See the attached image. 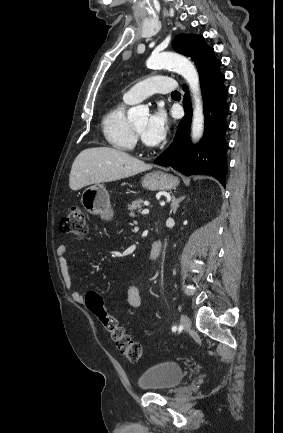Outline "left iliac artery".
Here are the masks:
<instances>
[{
  "instance_id": "44dca946",
  "label": "left iliac artery",
  "mask_w": 283,
  "mask_h": 433,
  "mask_svg": "<svg viewBox=\"0 0 283 433\" xmlns=\"http://www.w3.org/2000/svg\"><path fill=\"white\" fill-rule=\"evenodd\" d=\"M175 330H176V327H173V328H172V331H175Z\"/></svg>"
}]
</instances>
